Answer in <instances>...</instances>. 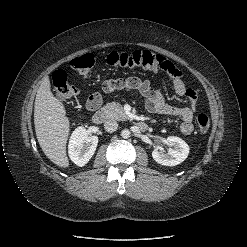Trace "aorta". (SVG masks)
<instances>
[{
    "mask_svg": "<svg viewBox=\"0 0 247 247\" xmlns=\"http://www.w3.org/2000/svg\"><path fill=\"white\" fill-rule=\"evenodd\" d=\"M130 134H131V132L128 129H123L121 131V137L124 138V139L129 138L130 137Z\"/></svg>",
    "mask_w": 247,
    "mask_h": 247,
    "instance_id": "762f6f07",
    "label": "aorta"
}]
</instances>
